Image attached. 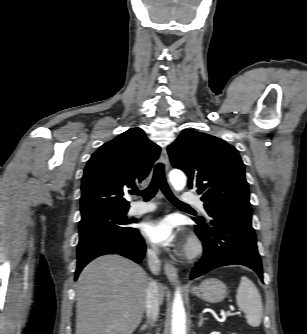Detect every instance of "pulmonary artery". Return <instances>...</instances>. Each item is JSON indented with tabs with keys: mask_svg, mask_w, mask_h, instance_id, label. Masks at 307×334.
Wrapping results in <instances>:
<instances>
[{
	"mask_svg": "<svg viewBox=\"0 0 307 334\" xmlns=\"http://www.w3.org/2000/svg\"><path fill=\"white\" fill-rule=\"evenodd\" d=\"M184 200L195 205L201 212L206 214L205 206L203 201L198 197H184ZM156 209V205L153 203L144 204L142 202L134 203L130 210L129 214L133 216L143 215L149 212H152Z\"/></svg>",
	"mask_w": 307,
	"mask_h": 334,
	"instance_id": "obj_1",
	"label": "pulmonary artery"
}]
</instances>
